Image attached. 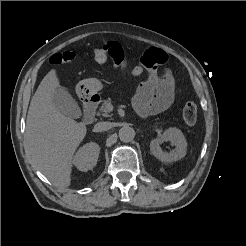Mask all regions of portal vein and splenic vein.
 <instances>
[{
  "instance_id": "portal-vein-and-splenic-vein-1",
  "label": "portal vein and splenic vein",
  "mask_w": 246,
  "mask_h": 246,
  "mask_svg": "<svg viewBox=\"0 0 246 246\" xmlns=\"http://www.w3.org/2000/svg\"><path fill=\"white\" fill-rule=\"evenodd\" d=\"M113 108H114V107H113L112 105H109L107 109H108V111L111 112V111L113 110Z\"/></svg>"
}]
</instances>
